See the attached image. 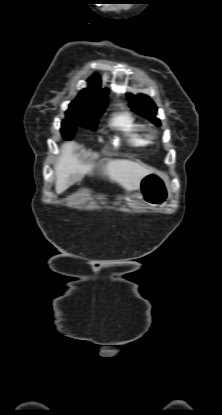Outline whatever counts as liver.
<instances>
[{
  "instance_id": "6515ba94",
  "label": "liver",
  "mask_w": 222,
  "mask_h": 415,
  "mask_svg": "<svg viewBox=\"0 0 222 415\" xmlns=\"http://www.w3.org/2000/svg\"><path fill=\"white\" fill-rule=\"evenodd\" d=\"M75 147L76 143L73 141L66 142L61 146L62 153L55 165L56 192L58 194L81 181L84 175L93 174L94 165L81 163L78 155L73 153ZM99 171L102 176L130 191L136 189L141 180L149 173L154 172V169L129 160L110 159L99 168Z\"/></svg>"
}]
</instances>
